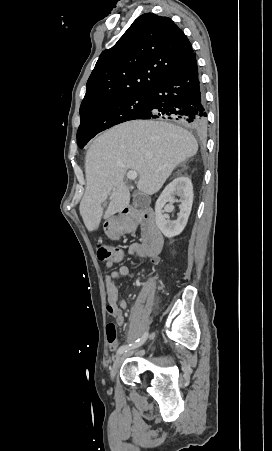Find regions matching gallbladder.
<instances>
[{"mask_svg":"<svg viewBox=\"0 0 272 451\" xmlns=\"http://www.w3.org/2000/svg\"><path fill=\"white\" fill-rule=\"evenodd\" d=\"M133 204H134V206H137V208H146V204H143V202H140L139 198H134Z\"/></svg>","mask_w":272,"mask_h":451,"instance_id":"obj_1","label":"gallbladder"}]
</instances>
